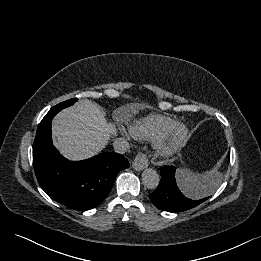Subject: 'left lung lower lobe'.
Masks as SVG:
<instances>
[{"label": "left lung lower lobe", "instance_id": "1", "mask_svg": "<svg viewBox=\"0 0 261 261\" xmlns=\"http://www.w3.org/2000/svg\"><path fill=\"white\" fill-rule=\"evenodd\" d=\"M174 166H162L161 181L158 188L149 195L152 203L160 210L168 212H180L192 209L206 201L208 197L200 199L192 198L191 195L201 194L204 189L193 183L183 185L175 173Z\"/></svg>", "mask_w": 261, "mask_h": 261}]
</instances>
